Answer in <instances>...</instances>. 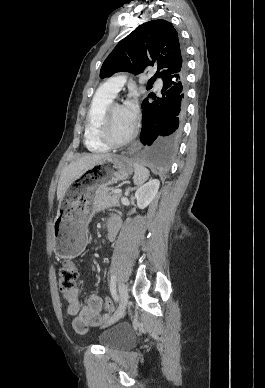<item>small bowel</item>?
I'll return each mask as SVG.
<instances>
[{"label": "small bowel", "instance_id": "c3829d8e", "mask_svg": "<svg viewBox=\"0 0 265 388\" xmlns=\"http://www.w3.org/2000/svg\"><path fill=\"white\" fill-rule=\"evenodd\" d=\"M108 220H114L116 226L114 230L108 231V239L114 240L120 227V220L116 215L111 216ZM66 312L72 316L73 328L78 333H84L89 326H98L104 320L103 299L96 294H90L86 304L80 303V289L74 287L66 295Z\"/></svg>", "mask_w": 265, "mask_h": 388}]
</instances>
